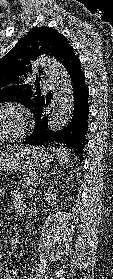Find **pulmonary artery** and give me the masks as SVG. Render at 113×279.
I'll return each mask as SVG.
<instances>
[{
  "mask_svg": "<svg viewBox=\"0 0 113 279\" xmlns=\"http://www.w3.org/2000/svg\"><path fill=\"white\" fill-rule=\"evenodd\" d=\"M42 84H43V86H45V87L50 86L49 80H48V79H43V80H42Z\"/></svg>",
  "mask_w": 113,
  "mask_h": 279,
  "instance_id": "1",
  "label": "pulmonary artery"
}]
</instances>
